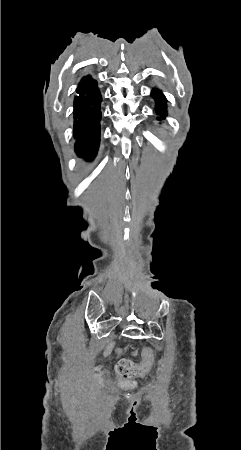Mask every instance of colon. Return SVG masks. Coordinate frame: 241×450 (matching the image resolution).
Listing matches in <instances>:
<instances>
[{
    "label": "colon",
    "mask_w": 241,
    "mask_h": 450,
    "mask_svg": "<svg viewBox=\"0 0 241 450\" xmlns=\"http://www.w3.org/2000/svg\"><path fill=\"white\" fill-rule=\"evenodd\" d=\"M152 347L150 345H146L144 347V350L142 352L143 360L142 363H137V361L132 360V361H126V360H121L119 361L118 364L115 365V370L116 371H120V373L122 375H138V376H143L146 374V369L150 368L152 366V362H153V356H152ZM103 373L105 375H108L110 373V370L108 368H105L103 370Z\"/></svg>",
    "instance_id": "obj_1"
}]
</instances>
